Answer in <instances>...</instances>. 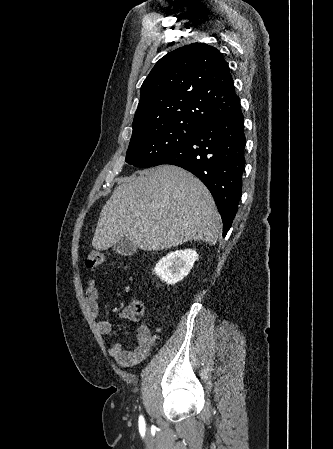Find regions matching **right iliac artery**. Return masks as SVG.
I'll list each match as a JSON object with an SVG mask.
<instances>
[{
    "label": "right iliac artery",
    "mask_w": 333,
    "mask_h": 449,
    "mask_svg": "<svg viewBox=\"0 0 333 449\" xmlns=\"http://www.w3.org/2000/svg\"><path fill=\"white\" fill-rule=\"evenodd\" d=\"M139 425H144V419L142 416L139 417Z\"/></svg>",
    "instance_id": "82829eb1"
}]
</instances>
